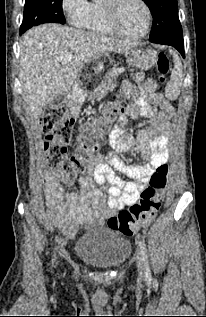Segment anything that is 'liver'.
I'll use <instances>...</instances> for the list:
<instances>
[{"label":"liver","instance_id":"liver-1","mask_svg":"<svg viewBox=\"0 0 206 317\" xmlns=\"http://www.w3.org/2000/svg\"><path fill=\"white\" fill-rule=\"evenodd\" d=\"M20 46L23 99L32 116L38 118L54 98L71 97L85 64L106 51L127 53L138 43L49 23L27 31ZM67 53L75 56L61 67V57Z\"/></svg>","mask_w":206,"mask_h":317}]
</instances>
